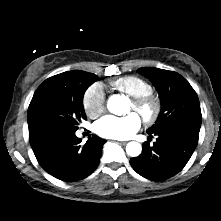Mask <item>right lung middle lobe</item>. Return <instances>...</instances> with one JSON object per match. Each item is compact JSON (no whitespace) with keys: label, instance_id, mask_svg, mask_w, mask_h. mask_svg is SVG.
<instances>
[{"label":"right lung middle lobe","instance_id":"right-lung-middle-lobe-1","mask_svg":"<svg viewBox=\"0 0 221 221\" xmlns=\"http://www.w3.org/2000/svg\"><path fill=\"white\" fill-rule=\"evenodd\" d=\"M98 77L82 70L64 72L45 80L36 90L28 108L30 136L65 130L76 131L86 119L83 96Z\"/></svg>","mask_w":221,"mask_h":221}]
</instances>
